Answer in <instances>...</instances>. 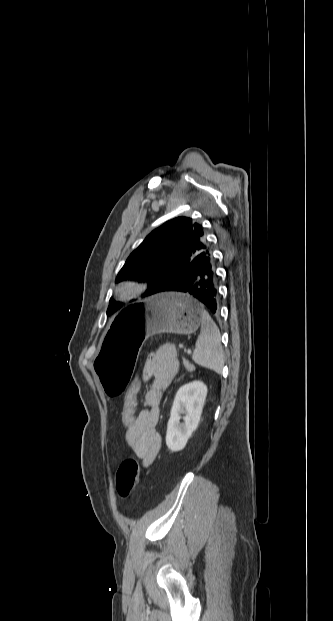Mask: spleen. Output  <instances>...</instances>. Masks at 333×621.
<instances>
[{
  "mask_svg": "<svg viewBox=\"0 0 333 621\" xmlns=\"http://www.w3.org/2000/svg\"><path fill=\"white\" fill-rule=\"evenodd\" d=\"M192 359L196 364L220 374L224 366V352L220 331L210 315L205 311L201 332L196 341Z\"/></svg>",
  "mask_w": 333,
  "mask_h": 621,
  "instance_id": "obj_1",
  "label": "spleen"
}]
</instances>
